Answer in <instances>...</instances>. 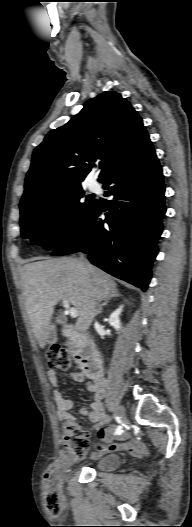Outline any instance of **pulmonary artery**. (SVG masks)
Wrapping results in <instances>:
<instances>
[{
    "label": "pulmonary artery",
    "instance_id": "obj_1",
    "mask_svg": "<svg viewBox=\"0 0 192 527\" xmlns=\"http://www.w3.org/2000/svg\"><path fill=\"white\" fill-rule=\"evenodd\" d=\"M88 188L90 191H96L98 189V184L95 181H91L88 184Z\"/></svg>",
    "mask_w": 192,
    "mask_h": 527
}]
</instances>
